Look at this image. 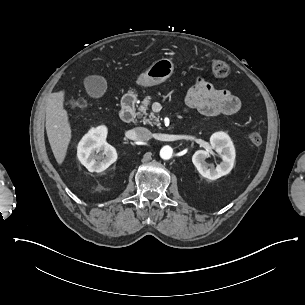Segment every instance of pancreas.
Returning a JSON list of instances; mask_svg holds the SVG:
<instances>
[{"label": "pancreas", "instance_id": "obj_1", "mask_svg": "<svg viewBox=\"0 0 305 305\" xmlns=\"http://www.w3.org/2000/svg\"><path fill=\"white\" fill-rule=\"evenodd\" d=\"M152 104V97L147 96L144 98V100L141 103V106L138 107V113H137V118L141 119L143 124H148V125H158L159 121L156 118L155 114L153 112L149 113V107Z\"/></svg>", "mask_w": 305, "mask_h": 305}]
</instances>
